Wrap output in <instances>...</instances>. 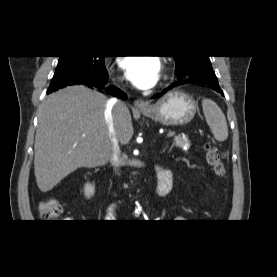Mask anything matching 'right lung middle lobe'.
Returning <instances> with one entry per match:
<instances>
[{
	"label": "right lung middle lobe",
	"instance_id": "right-lung-middle-lobe-1",
	"mask_svg": "<svg viewBox=\"0 0 277 277\" xmlns=\"http://www.w3.org/2000/svg\"><path fill=\"white\" fill-rule=\"evenodd\" d=\"M107 78L104 56H60L48 91H55L82 80L102 84Z\"/></svg>",
	"mask_w": 277,
	"mask_h": 277
}]
</instances>
